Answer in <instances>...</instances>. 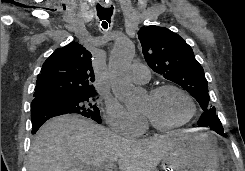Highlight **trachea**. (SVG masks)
I'll use <instances>...</instances> for the list:
<instances>
[{"instance_id":"trachea-1","label":"trachea","mask_w":245,"mask_h":171,"mask_svg":"<svg viewBox=\"0 0 245 171\" xmlns=\"http://www.w3.org/2000/svg\"><path fill=\"white\" fill-rule=\"evenodd\" d=\"M97 15L101 21V26L103 29H107L110 22H111V17L113 14V8L112 7H103L100 4H97Z\"/></svg>"}]
</instances>
